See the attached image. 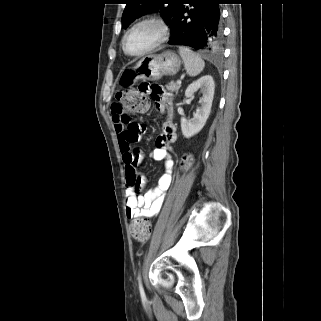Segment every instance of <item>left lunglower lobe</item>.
<instances>
[{"instance_id":"1","label":"left lung lower lobe","mask_w":321,"mask_h":321,"mask_svg":"<svg viewBox=\"0 0 321 321\" xmlns=\"http://www.w3.org/2000/svg\"><path fill=\"white\" fill-rule=\"evenodd\" d=\"M222 3L223 0H182L170 22L171 37L168 43L219 54L223 44L219 8Z\"/></svg>"}]
</instances>
